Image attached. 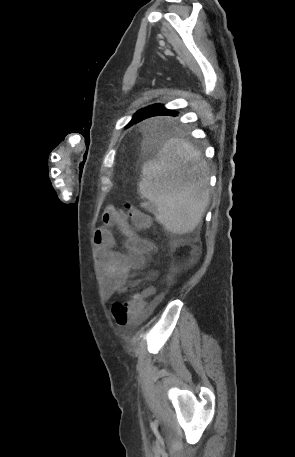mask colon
<instances>
[{
    "mask_svg": "<svg viewBox=\"0 0 295 457\" xmlns=\"http://www.w3.org/2000/svg\"><path fill=\"white\" fill-rule=\"evenodd\" d=\"M129 210V217L132 223L141 229H146L150 226V217L139 209L126 205ZM147 291L134 294L130 299L122 302L114 303L112 306V314L116 323L120 326H130L136 324L142 315L145 307V296Z\"/></svg>",
    "mask_w": 295,
    "mask_h": 457,
    "instance_id": "1",
    "label": "colon"
}]
</instances>
